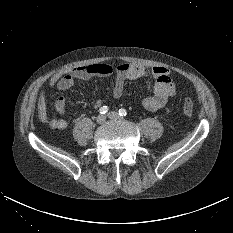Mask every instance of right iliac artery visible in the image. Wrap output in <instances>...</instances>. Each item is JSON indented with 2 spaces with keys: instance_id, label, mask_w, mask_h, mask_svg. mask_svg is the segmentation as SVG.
Masks as SVG:
<instances>
[{
  "instance_id": "right-iliac-artery-1",
  "label": "right iliac artery",
  "mask_w": 233,
  "mask_h": 233,
  "mask_svg": "<svg viewBox=\"0 0 233 233\" xmlns=\"http://www.w3.org/2000/svg\"><path fill=\"white\" fill-rule=\"evenodd\" d=\"M109 108L107 106H103L99 109V113L100 114H105L106 112H108Z\"/></svg>"
}]
</instances>
